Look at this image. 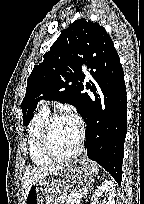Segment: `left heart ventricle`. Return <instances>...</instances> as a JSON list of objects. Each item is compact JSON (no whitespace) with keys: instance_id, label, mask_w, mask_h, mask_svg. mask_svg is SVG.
Segmentation results:
<instances>
[{"instance_id":"1","label":"left heart ventricle","mask_w":144,"mask_h":204,"mask_svg":"<svg viewBox=\"0 0 144 204\" xmlns=\"http://www.w3.org/2000/svg\"><path fill=\"white\" fill-rule=\"evenodd\" d=\"M79 140V126L73 118H60L52 128L51 144L58 154L73 152Z\"/></svg>"}]
</instances>
